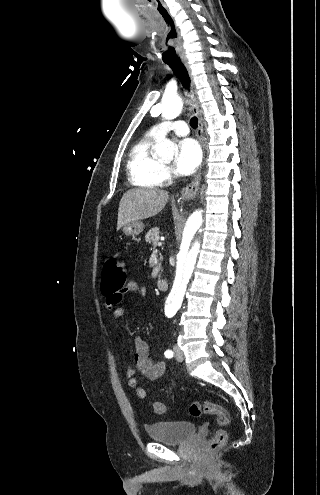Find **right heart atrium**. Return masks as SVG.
I'll return each instance as SVG.
<instances>
[{"label": "right heart atrium", "instance_id": "1", "mask_svg": "<svg viewBox=\"0 0 320 495\" xmlns=\"http://www.w3.org/2000/svg\"><path fill=\"white\" fill-rule=\"evenodd\" d=\"M170 178H171V173H170L169 169L167 167L163 166L161 171H160L161 182H166V181L170 180Z\"/></svg>", "mask_w": 320, "mask_h": 495}]
</instances>
